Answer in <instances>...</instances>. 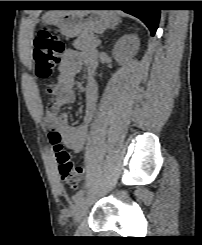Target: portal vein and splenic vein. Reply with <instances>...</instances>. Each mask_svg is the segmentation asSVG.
<instances>
[{
    "label": "portal vein and splenic vein",
    "instance_id": "obj_1",
    "mask_svg": "<svg viewBox=\"0 0 202 245\" xmlns=\"http://www.w3.org/2000/svg\"><path fill=\"white\" fill-rule=\"evenodd\" d=\"M97 42H98L99 44H101V43H102V41H101L100 39H97Z\"/></svg>",
    "mask_w": 202,
    "mask_h": 245
}]
</instances>
